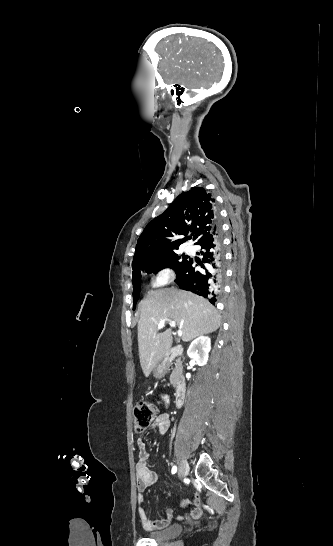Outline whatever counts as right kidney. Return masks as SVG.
Returning <instances> with one entry per match:
<instances>
[{
	"mask_svg": "<svg viewBox=\"0 0 333 546\" xmlns=\"http://www.w3.org/2000/svg\"><path fill=\"white\" fill-rule=\"evenodd\" d=\"M211 349V340L209 337L201 336L195 339L189 346L187 354L199 366L206 365Z\"/></svg>",
	"mask_w": 333,
	"mask_h": 546,
	"instance_id": "obj_1",
	"label": "right kidney"
}]
</instances>
